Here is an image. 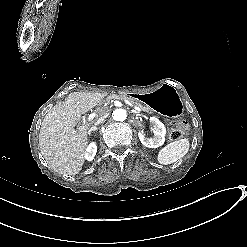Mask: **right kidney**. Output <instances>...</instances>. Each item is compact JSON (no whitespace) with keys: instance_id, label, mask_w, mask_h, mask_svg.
I'll return each instance as SVG.
<instances>
[{"instance_id":"ca27d5eb","label":"right kidney","mask_w":247,"mask_h":247,"mask_svg":"<svg viewBox=\"0 0 247 247\" xmlns=\"http://www.w3.org/2000/svg\"><path fill=\"white\" fill-rule=\"evenodd\" d=\"M96 152H97V147L94 143H91L89 145V147L87 148V151H86V158L88 160H92L94 158V156L96 155Z\"/></svg>"}]
</instances>
